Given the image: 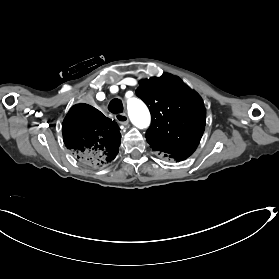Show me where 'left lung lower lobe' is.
<instances>
[{
    "mask_svg": "<svg viewBox=\"0 0 279 279\" xmlns=\"http://www.w3.org/2000/svg\"><path fill=\"white\" fill-rule=\"evenodd\" d=\"M186 158H188V157H175L173 159H175L177 162H179V161L185 160Z\"/></svg>",
    "mask_w": 279,
    "mask_h": 279,
    "instance_id": "obj_1",
    "label": "left lung lower lobe"
}]
</instances>
